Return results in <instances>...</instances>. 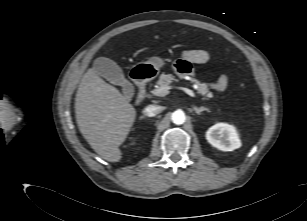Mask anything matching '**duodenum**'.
Wrapping results in <instances>:
<instances>
[{
  "label": "duodenum",
  "instance_id": "1",
  "mask_svg": "<svg viewBox=\"0 0 307 221\" xmlns=\"http://www.w3.org/2000/svg\"><path fill=\"white\" fill-rule=\"evenodd\" d=\"M149 77V71L144 69L137 70L132 78L137 86L136 104L140 105L146 96L147 78Z\"/></svg>",
  "mask_w": 307,
  "mask_h": 221
}]
</instances>
